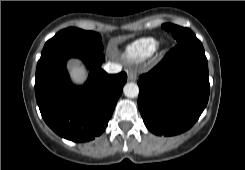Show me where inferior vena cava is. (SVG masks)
<instances>
[{"instance_id":"obj_1","label":"inferior vena cava","mask_w":245,"mask_h":170,"mask_svg":"<svg viewBox=\"0 0 245 170\" xmlns=\"http://www.w3.org/2000/svg\"><path fill=\"white\" fill-rule=\"evenodd\" d=\"M103 68L107 73H110V74L119 73L122 69V67L116 63H107L104 65Z\"/></svg>"}]
</instances>
